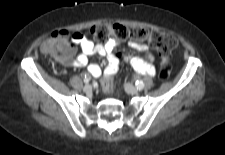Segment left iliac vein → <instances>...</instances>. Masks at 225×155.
Segmentation results:
<instances>
[{
    "label": "left iliac vein",
    "instance_id": "obj_1",
    "mask_svg": "<svg viewBox=\"0 0 225 155\" xmlns=\"http://www.w3.org/2000/svg\"><path fill=\"white\" fill-rule=\"evenodd\" d=\"M124 89L128 94L136 95L139 93L138 89H136L132 84L126 83L124 84Z\"/></svg>",
    "mask_w": 225,
    "mask_h": 155
}]
</instances>
